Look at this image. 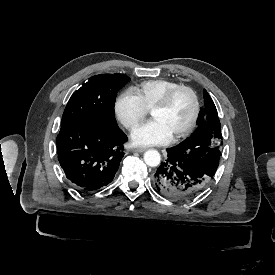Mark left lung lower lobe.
I'll use <instances>...</instances> for the list:
<instances>
[{
  "label": "left lung lower lobe",
  "instance_id": "1",
  "mask_svg": "<svg viewBox=\"0 0 275 275\" xmlns=\"http://www.w3.org/2000/svg\"><path fill=\"white\" fill-rule=\"evenodd\" d=\"M213 176L168 152L167 159L157 169L153 181L162 195L181 201L195 198L203 193L211 186Z\"/></svg>",
  "mask_w": 275,
  "mask_h": 275
}]
</instances>
